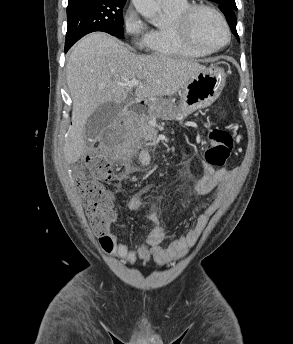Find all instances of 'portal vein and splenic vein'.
Wrapping results in <instances>:
<instances>
[{"mask_svg": "<svg viewBox=\"0 0 293 344\" xmlns=\"http://www.w3.org/2000/svg\"><path fill=\"white\" fill-rule=\"evenodd\" d=\"M142 84H143L142 81L136 80V79H132V80H130V81L126 82V83H123L121 85L128 86V87H134V86H138V85H142Z\"/></svg>", "mask_w": 293, "mask_h": 344, "instance_id": "18ae733b", "label": "portal vein and splenic vein"}]
</instances>
